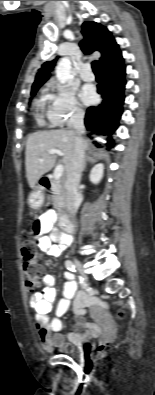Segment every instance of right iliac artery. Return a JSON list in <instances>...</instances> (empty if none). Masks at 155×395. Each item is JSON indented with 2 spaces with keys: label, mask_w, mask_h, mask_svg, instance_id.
<instances>
[{
  "label": "right iliac artery",
  "mask_w": 155,
  "mask_h": 395,
  "mask_svg": "<svg viewBox=\"0 0 155 395\" xmlns=\"http://www.w3.org/2000/svg\"><path fill=\"white\" fill-rule=\"evenodd\" d=\"M65 266L68 270H70L72 272H76L75 265L73 264L72 261H70V260L65 261Z\"/></svg>",
  "instance_id": "1"
}]
</instances>
